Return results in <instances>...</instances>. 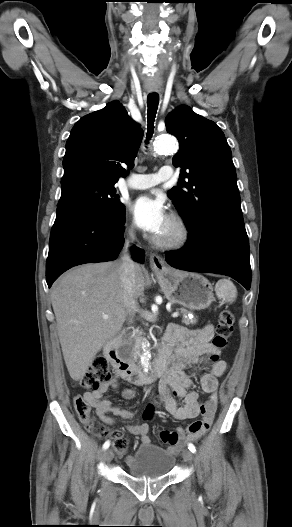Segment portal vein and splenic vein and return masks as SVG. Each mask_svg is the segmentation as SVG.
Here are the masks:
<instances>
[{
	"label": "portal vein and splenic vein",
	"instance_id": "obj_1",
	"mask_svg": "<svg viewBox=\"0 0 292 527\" xmlns=\"http://www.w3.org/2000/svg\"><path fill=\"white\" fill-rule=\"evenodd\" d=\"M178 316H179V312H174V313H172V317H173V318L178 317ZM103 318H104V319H108L109 316H108V315H103Z\"/></svg>",
	"mask_w": 292,
	"mask_h": 527
}]
</instances>
